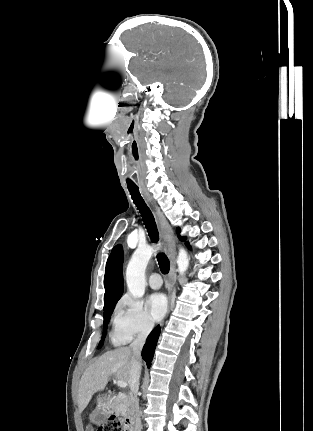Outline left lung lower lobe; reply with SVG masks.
<instances>
[{
    "label": "left lung lower lobe",
    "mask_w": 313,
    "mask_h": 431,
    "mask_svg": "<svg viewBox=\"0 0 313 431\" xmlns=\"http://www.w3.org/2000/svg\"><path fill=\"white\" fill-rule=\"evenodd\" d=\"M186 245H187V246H188V247L190 248V245H189V243H187Z\"/></svg>",
    "instance_id": "0a47b994"
}]
</instances>
